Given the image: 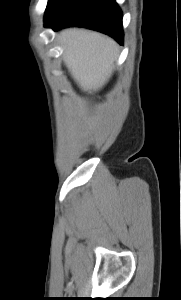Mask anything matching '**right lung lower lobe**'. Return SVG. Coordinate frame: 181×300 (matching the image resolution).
<instances>
[{"mask_svg":"<svg viewBox=\"0 0 181 300\" xmlns=\"http://www.w3.org/2000/svg\"><path fill=\"white\" fill-rule=\"evenodd\" d=\"M44 21L54 30L77 26L100 31L123 44L122 12L115 0H64Z\"/></svg>","mask_w":181,"mask_h":300,"instance_id":"1","label":"right lung lower lobe"}]
</instances>
